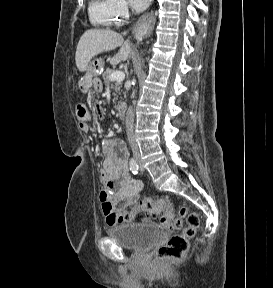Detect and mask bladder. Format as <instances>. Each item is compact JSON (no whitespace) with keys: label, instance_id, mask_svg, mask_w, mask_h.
<instances>
[{"label":"bladder","instance_id":"obj_1","mask_svg":"<svg viewBox=\"0 0 273 288\" xmlns=\"http://www.w3.org/2000/svg\"><path fill=\"white\" fill-rule=\"evenodd\" d=\"M117 244L134 251H145L161 237L159 228L152 223H127L115 226L108 232Z\"/></svg>","mask_w":273,"mask_h":288}]
</instances>
